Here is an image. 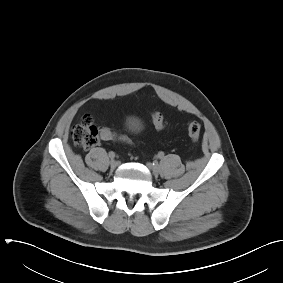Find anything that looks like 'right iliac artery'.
Wrapping results in <instances>:
<instances>
[{
  "label": "right iliac artery",
  "instance_id": "right-iliac-artery-1",
  "mask_svg": "<svg viewBox=\"0 0 283 283\" xmlns=\"http://www.w3.org/2000/svg\"><path fill=\"white\" fill-rule=\"evenodd\" d=\"M115 153L113 151L109 152V157L113 160L115 158Z\"/></svg>",
  "mask_w": 283,
  "mask_h": 283
}]
</instances>
